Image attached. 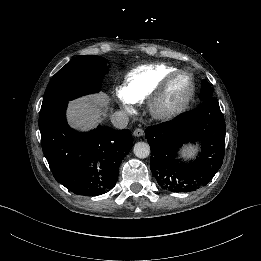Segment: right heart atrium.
<instances>
[{
  "label": "right heart atrium",
  "instance_id": "right-heart-atrium-1",
  "mask_svg": "<svg viewBox=\"0 0 261 261\" xmlns=\"http://www.w3.org/2000/svg\"><path fill=\"white\" fill-rule=\"evenodd\" d=\"M116 96L121 103L123 110L129 116H134L136 114V108L134 102L129 98V96L123 90H118Z\"/></svg>",
  "mask_w": 261,
  "mask_h": 261
}]
</instances>
